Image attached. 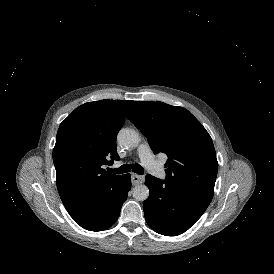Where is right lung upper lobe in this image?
I'll return each instance as SVG.
<instances>
[{
	"label": "right lung upper lobe",
	"instance_id": "obj_1",
	"mask_svg": "<svg viewBox=\"0 0 274 274\" xmlns=\"http://www.w3.org/2000/svg\"><path fill=\"white\" fill-rule=\"evenodd\" d=\"M133 101L100 100L76 108L61 124L53 149L57 188L71 213L92 203L122 175L101 166L118 160L117 133Z\"/></svg>",
	"mask_w": 274,
	"mask_h": 274
}]
</instances>
